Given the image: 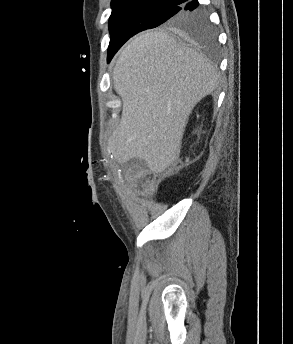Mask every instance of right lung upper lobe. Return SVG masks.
<instances>
[{
  "mask_svg": "<svg viewBox=\"0 0 293 344\" xmlns=\"http://www.w3.org/2000/svg\"><path fill=\"white\" fill-rule=\"evenodd\" d=\"M187 0H112L111 4H122L127 2H161V3H169V4H176L182 5ZM166 27H169L168 24H164ZM172 29V28H171Z\"/></svg>",
  "mask_w": 293,
  "mask_h": 344,
  "instance_id": "right-lung-upper-lobe-1",
  "label": "right lung upper lobe"
}]
</instances>
